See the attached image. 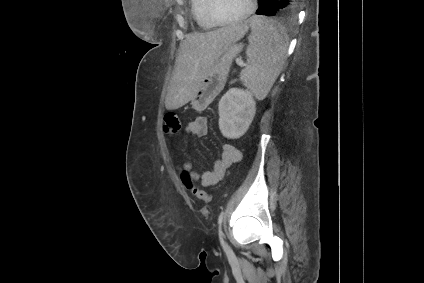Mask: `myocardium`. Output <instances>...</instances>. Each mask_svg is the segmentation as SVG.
<instances>
[{
	"label": "myocardium",
	"instance_id": "myocardium-1",
	"mask_svg": "<svg viewBox=\"0 0 424 283\" xmlns=\"http://www.w3.org/2000/svg\"><path fill=\"white\" fill-rule=\"evenodd\" d=\"M214 4H215V0H206V5H205L206 16L208 20L214 25L225 26V25H233L249 18L254 13L257 2L256 0H249L248 9L241 16L234 19H230V20L219 18L214 12Z\"/></svg>",
	"mask_w": 424,
	"mask_h": 283
}]
</instances>
